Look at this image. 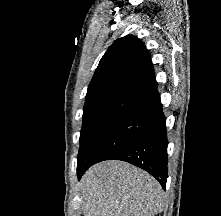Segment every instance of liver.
<instances>
[{"mask_svg": "<svg viewBox=\"0 0 221 216\" xmlns=\"http://www.w3.org/2000/svg\"><path fill=\"white\" fill-rule=\"evenodd\" d=\"M84 216H154L163 210L160 183L123 161L92 166L80 181Z\"/></svg>", "mask_w": 221, "mask_h": 216, "instance_id": "6515ba94", "label": "liver"}]
</instances>
